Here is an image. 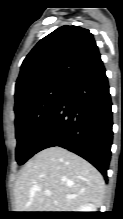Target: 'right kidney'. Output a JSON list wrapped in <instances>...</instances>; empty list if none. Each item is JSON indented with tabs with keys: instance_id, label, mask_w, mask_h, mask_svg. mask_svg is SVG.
<instances>
[{
	"instance_id": "1",
	"label": "right kidney",
	"mask_w": 123,
	"mask_h": 219,
	"mask_svg": "<svg viewBox=\"0 0 123 219\" xmlns=\"http://www.w3.org/2000/svg\"><path fill=\"white\" fill-rule=\"evenodd\" d=\"M96 206L94 204H85L83 206H81L77 212H96Z\"/></svg>"
}]
</instances>
